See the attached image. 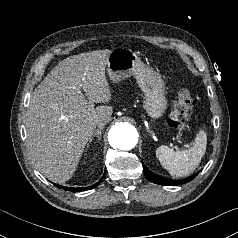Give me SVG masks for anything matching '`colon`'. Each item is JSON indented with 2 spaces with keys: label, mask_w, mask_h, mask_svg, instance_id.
<instances>
[{
  "label": "colon",
  "mask_w": 238,
  "mask_h": 238,
  "mask_svg": "<svg viewBox=\"0 0 238 238\" xmlns=\"http://www.w3.org/2000/svg\"><path fill=\"white\" fill-rule=\"evenodd\" d=\"M194 103V98L187 89L180 90L168 119L169 126L180 131L188 130Z\"/></svg>",
  "instance_id": "5ec220e1"
}]
</instances>
